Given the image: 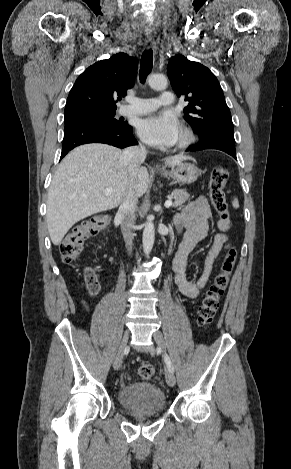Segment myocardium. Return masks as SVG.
I'll return each mask as SVG.
<instances>
[{
    "label": "myocardium",
    "instance_id": "f54148a6",
    "mask_svg": "<svg viewBox=\"0 0 291 469\" xmlns=\"http://www.w3.org/2000/svg\"><path fill=\"white\" fill-rule=\"evenodd\" d=\"M195 140L193 131L188 127H183L181 129L178 142L176 144L177 150H184L188 148Z\"/></svg>",
    "mask_w": 291,
    "mask_h": 469
}]
</instances>
